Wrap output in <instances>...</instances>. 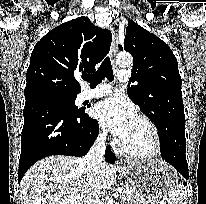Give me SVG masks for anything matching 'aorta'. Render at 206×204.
<instances>
[{
    "label": "aorta",
    "mask_w": 206,
    "mask_h": 204,
    "mask_svg": "<svg viewBox=\"0 0 206 204\" xmlns=\"http://www.w3.org/2000/svg\"><path fill=\"white\" fill-rule=\"evenodd\" d=\"M133 59L128 53H119L116 56V64L120 67L130 66ZM105 204H113V200L109 199Z\"/></svg>",
    "instance_id": "762f6f07"
}]
</instances>
